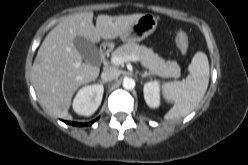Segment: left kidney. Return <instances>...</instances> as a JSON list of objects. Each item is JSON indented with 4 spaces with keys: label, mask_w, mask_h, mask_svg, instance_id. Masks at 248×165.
I'll return each mask as SVG.
<instances>
[{
    "label": "left kidney",
    "mask_w": 248,
    "mask_h": 165,
    "mask_svg": "<svg viewBox=\"0 0 248 165\" xmlns=\"http://www.w3.org/2000/svg\"><path fill=\"white\" fill-rule=\"evenodd\" d=\"M144 99L151 108H158L160 105V83L158 81H149L144 84Z\"/></svg>",
    "instance_id": "left-kidney-1"
}]
</instances>
